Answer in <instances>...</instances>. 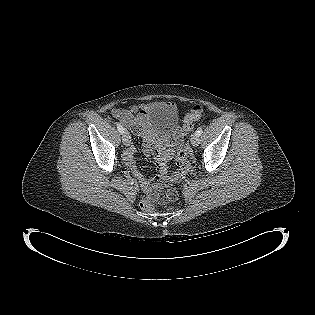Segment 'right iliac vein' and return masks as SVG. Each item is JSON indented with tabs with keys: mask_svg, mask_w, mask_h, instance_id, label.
Here are the masks:
<instances>
[{
	"mask_svg": "<svg viewBox=\"0 0 315 315\" xmlns=\"http://www.w3.org/2000/svg\"><path fill=\"white\" fill-rule=\"evenodd\" d=\"M122 141L125 146H129L131 144V137L127 131H124L122 135Z\"/></svg>",
	"mask_w": 315,
	"mask_h": 315,
	"instance_id": "1",
	"label": "right iliac vein"
}]
</instances>
